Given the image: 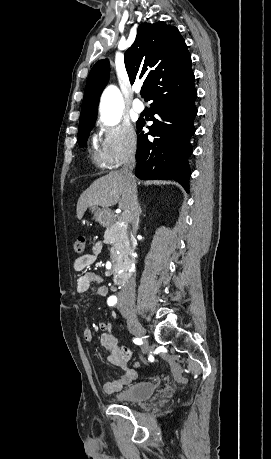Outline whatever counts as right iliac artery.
<instances>
[{
	"mask_svg": "<svg viewBox=\"0 0 271 459\" xmlns=\"http://www.w3.org/2000/svg\"><path fill=\"white\" fill-rule=\"evenodd\" d=\"M109 306H114L117 303V299L113 297H109L107 300Z\"/></svg>",
	"mask_w": 271,
	"mask_h": 459,
	"instance_id": "82829eb1",
	"label": "right iliac artery"
}]
</instances>
